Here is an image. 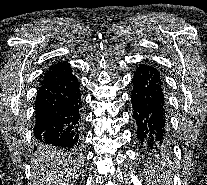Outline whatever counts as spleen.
<instances>
[{
    "label": "spleen",
    "mask_w": 207,
    "mask_h": 185,
    "mask_svg": "<svg viewBox=\"0 0 207 185\" xmlns=\"http://www.w3.org/2000/svg\"><path fill=\"white\" fill-rule=\"evenodd\" d=\"M152 179H169V174H152Z\"/></svg>",
    "instance_id": "obj_1"
}]
</instances>
